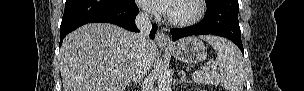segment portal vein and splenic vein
<instances>
[{
  "label": "portal vein and splenic vein",
  "mask_w": 304,
  "mask_h": 91,
  "mask_svg": "<svg viewBox=\"0 0 304 91\" xmlns=\"http://www.w3.org/2000/svg\"><path fill=\"white\" fill-rule=\"evenodd\" d=\"M213 67H214V68H216V65H215V64H213Z\"/></svg>",
  "instance_id": "1"
}]
</instances>
